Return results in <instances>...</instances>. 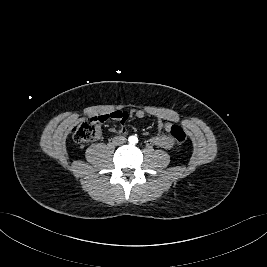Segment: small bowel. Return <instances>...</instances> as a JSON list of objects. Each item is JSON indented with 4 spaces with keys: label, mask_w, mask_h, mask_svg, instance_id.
I'll return each instance as SVG.
<instances>
[{
    "label": "small bowel",
    "mask_w": 267,
    "mask_h": 267,
    "mask_svg": "<svg viewBox=\"0 0 267 267\" xmlns=\"http://www.w3.org/2000/svg\"><path fill=\"white\" fill-rule=\"evenodd\" d=\"M118 112L122 111H113L109 114H106V116H109L110 119L119 121L121 125L119 127H112L110 130L113 133H125L126 128L124 126L126 120L128 119L129 116H134L137 119H143L146 116L145 111L143 110H134L131 111L129 114L127 112H123L126 114L127 119L125 121H121L119 117H117ZM166 120V122H164ZM173 125V121L168 117V116H162V115H157V134L154 135L151 139L150 142L157 146L161 147L164 149H171L174 144L175 140L171 135L164 134L162 131L170 132V128Z\"/></svg>",
    "instance_id": "1"
}]
</instances>
